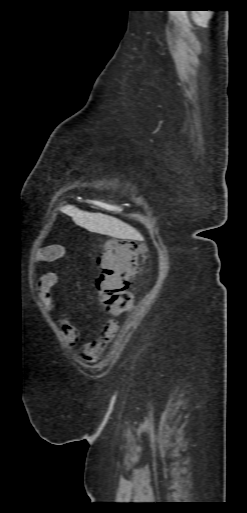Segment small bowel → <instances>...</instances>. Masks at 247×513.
<instances>
[{
  "label": "small bowel",
  "mask_w": 247,
  "mask_h": 513,
  "mask_svg": "<svg viewBox=\"0 0 247 513\" xmlns=\"http://www.w3.org/2000/svg\"><path fill=\"white\" fill-rule=\"evenodd\" d=\"M62 250L58 246L47 247L42 250L35 259L36 263L50 262L60 258ZM59 278L56 273H45L41 275L37 281L36 294L47 313L53 311L52 291L58 285ZM118 330V325L115 321H109L103 328L102 334L99 339L89 342L84 346V357L86 359H93L94 357L102 354L108 344L115 338ZM62 331L64 341L68 345H73L79 338L78 329L71 324L68 320L64 319L62 322Z\"/></svg>",
  "instance_id": "1"
}]
</instances>
